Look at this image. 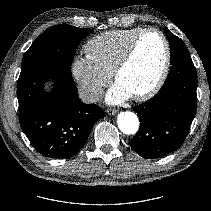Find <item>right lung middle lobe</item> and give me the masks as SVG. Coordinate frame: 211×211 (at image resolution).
Listing matches in <instances>:
<instances>
[{
  "label": "right lung middle lobe",
  "mask_w": 211,
  "mask_h": 211,
  "mask_svg": "<svg viewBox=\"0 0 211 211\" xmlns=\"http://www.w3.org/2000/svg\"><path fill=\"white\" fill-rule=\"evenodd\" d=\"M92 32V29L71 25L48 28L24 54L20 75L42 66H54L71 72L76 48L81 40Z\"/></svg>",
  "instance_id": "right-lung-middle-lobe-1"
}]
</instances>
